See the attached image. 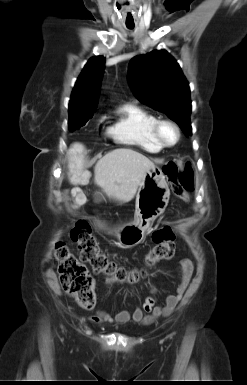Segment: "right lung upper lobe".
<instances>
[{
  "instance_id": "1",
  "label": "right lung upper lobe",
  "mask_w": 247,
  "mask_h": 385,
  "mask_svg": "<svg viewBox=\"0 0 247 385\" xmlns=\"http://www.w3.org/2000/svg\"><path fill=\"white\" fill-rule=\"evenodd\" d=\"M104 63L103 56L92 57L87 62L74 86L69 111L96 109Z\"/></svg>"
}]
</instances>
